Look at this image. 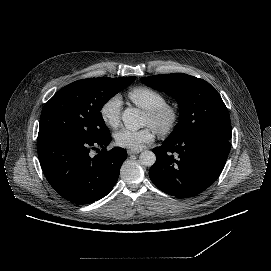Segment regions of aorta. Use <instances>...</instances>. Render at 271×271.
Returning <instances> with one entry per match:
<instances>
[{
  "label": "aorta",
  "mask_w": 271,
  "mask_h": 271,
  "mask_svg": "<svg viewBox=\"0 0 271 271\" xmlns=\"http://www.w3.org/2000/svg\"><path fill=\"white\" fill-rule=\"evenodd\" d=\"M122 120L128 130L136 131L144 127L146 118L138 108H126L122 114ZM140 163L146 167H151L156 161V156L152 151H143L140 156Z\"/></svg>",
  "instance_id": "aorta-1"
}]
</instances>
